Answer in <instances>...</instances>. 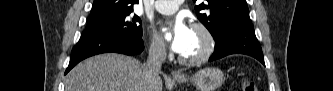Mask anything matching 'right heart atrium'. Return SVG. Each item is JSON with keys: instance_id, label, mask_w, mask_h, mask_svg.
<instances>
[{"instance_id": "right-heart-atrium-1", "label": "right heart atrium", "mask_w": 333, "mask_h": 91, "mask_svg": "<svg viewBox=\"0 0 333 91\" xmlns=\"http://www.w3.org/2000/svg\"><path fill=\"white\" fill-rule=\"evenodd\" d=\"M149 55L157 60H162L166 57L165 46L155 37H151L148 42Z\"/></svg>"}]
</instances>
